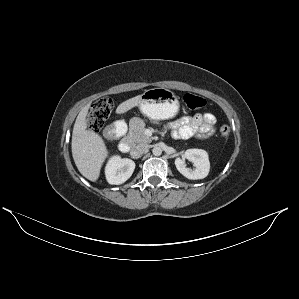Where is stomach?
<instances>
[{"instance_id":"stomach-1","label":"stomach","mask_w":299,"mask_h":299,"mask_svg":"<svg viewBox=\"0 0 299 299\" xmlns=\"http://www.w3.org/2000/svg\"><path fill=\"white\" fill-rule=\"evenodd\" d=\"M139 108L145 116L152 120L170 119L179 110V100L169 89L153 88L142 94Z\"/></svg>"}]
</instances>
